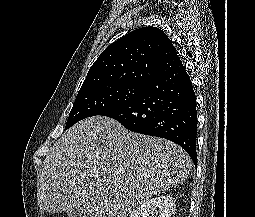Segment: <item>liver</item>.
Here are the masks:
<instances>
[{
	"instance_id": "6515ba94",
	"label": "liver",
	"mask_w": 255,
	"mask_h": 217,
	"mask_svg": "<svg viewBox=\"0 0 255 217\" xmlns=\"http://www.w3.org/2000/svg\"><path fill=\"white\" fill-rule=\"evenodd\" d=\"M191 167L177 144L94 116L69 128L44 159L38 204L48 213L84 208L89 217H126Z\"/></svg>"
}]
</instances>
